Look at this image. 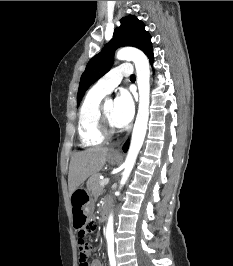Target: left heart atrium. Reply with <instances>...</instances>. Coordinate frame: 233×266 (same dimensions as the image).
Instances as JSON below:
<instances>
[{
	"label": "left heart atrium",
	"mask_w": 233,
	"mask_h": 266,
	"mask_svg": "<svg viewBox=\"0 0 233 266\" xmlns=\"http://www.w3.org/2000/svg\"><path fill=\"white\" fill-rule=\"evenodd\" d=\"M135 105L128 91H121L114 100L113 121L117 127H124L130 123L134 116Z\"/></svg>",
	"instance_id": "1"
}]
</instances>
